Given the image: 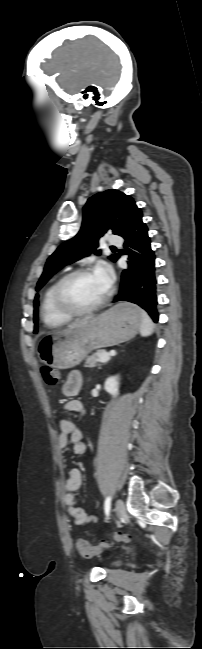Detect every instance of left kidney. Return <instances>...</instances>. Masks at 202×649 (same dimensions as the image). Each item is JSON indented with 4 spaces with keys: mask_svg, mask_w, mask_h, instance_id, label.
<instances>
[{
    "mask_svg": "<svg viewBox=\"0 0 202 649\" xmlns=\"http://www.w3.org/2000/svg\"><path fill=\"white\" fill-rule=\"evenodd\" d=\"M104 389L106 392L111 394L112 396H117L119 393V377L118 376H111L106 379L104 383Z\"/></svg>",
    "mask_w": 202,
    "mask_h": 649,
    "instance_id": "5707ae66",
    "label": "left kidney"
}]
</instances>
